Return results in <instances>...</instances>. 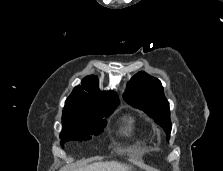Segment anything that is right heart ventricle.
Segmentation results:
<instances>
[{
  "mask_svg": "<svg viewBox=\"0 0 223 171\" xmlns=\"http://www.w3.org/2000/svg\"><path fill=\"white\" fill-rule=\"evenodd\" d=\"M124 133L128 136H138V135H142L144 132L139 127L136 119L133 117H130L125 120Z\"/></svg>",
  "mask_w": 223,
  "mask_h": 171,
  "instance_id": "e07e8e85",
  "label": "right heart ventricle"
}]
</instances>
